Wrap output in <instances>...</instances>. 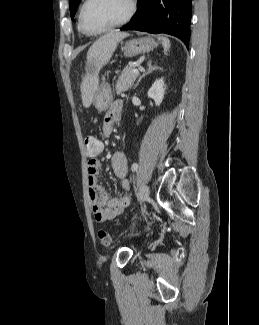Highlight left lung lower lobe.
I'll return each instance as SVG.
<instances>
[{
	"label": "left lung lower lobe",
	"instance_id": "obj_1",
	"mask_svg": "<svg viewBox=\"0 0 259 325\" xmlns=\"http://www.w3.org/2000/svg\"><path fill=\"white\" fill-rule=\"evenodd\" d=\"M192 0H138V9L121 30L166 33L189 44Z\"/></svg>",
	"mask_w": 259,
	"mask_h": 325
}]
</instances>
